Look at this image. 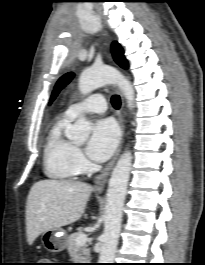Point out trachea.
<instances>
[{
	"label": "trachea",
	"instance_id": "1",
	"mask_svg": "<svg viewBox=\"0 0 205 265\" xmlns=\"http://www.w3.org/2000/svg\"><path fill=\"white\" fill-rule=\"evenodd\" d=\"M111 103L115 109H119L121 106V99L119 95H113L111 98Z\"/></svg>",
	"mask_w": 205,
	"mask_h": 265
}]
</instances>
